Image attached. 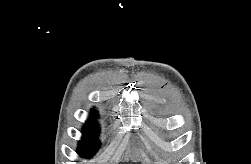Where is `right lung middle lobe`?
Masks as SVG:
<instances>
[{
    "label": "right lung middle lobe",
    "instance_id": "dd1d6c3e",
    "mask_svg": "<svg viewBox=\"0 0 251 164\" xmlns=\"http://www.w3.org/2000/svg\"><path fill=\"white\" fill-rule=\"evenodd\" d=\"M92 112L96 113L95 110H92ZM99 132L97 122L94 118H89L83 128L82 140L79 142L78 154L80 156L89 158L96 153L100 146V143L97 141Z\"/></svg>",
    "mask_w": 251,
    "mask_h": 164
}]
</instances>
